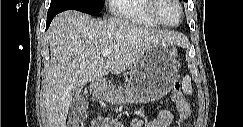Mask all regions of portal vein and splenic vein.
<instances>
[{"mask_svg":"<svg viewBox=\"0 0 243 127\" xmlns=\"http://www.w3.org/2000/svg\"><path fill=\"white\" fill-rule=\"evenodd\" d=\"M111 50H109V49H106V50H103L102 51V56L103 57H108L110 54H111Z\"/></svg>","mask_w":243,"mask_h":127,"instance_id":"portal-vein-and-splenic-vein-1","label":"portal vein and splenic vein"}]
</instances>
